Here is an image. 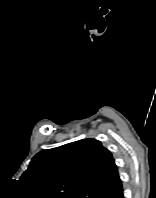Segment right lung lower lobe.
<instances>
[{
  "instance_id": "1",
  "label": "right lung lower lobe",
  "mask_w": 156,
  "mask_h": 198,
  "mask_svg": "<svg viewBox=\"0 0 156 198\" xmlns=\"http://www.w3.org/2000/svg\"><path fill=\"white\" fill-rule=\"evenodd\" d=\"M113 198H124L123 189L116 193Z\"/></svg>"
}]
</instances>
